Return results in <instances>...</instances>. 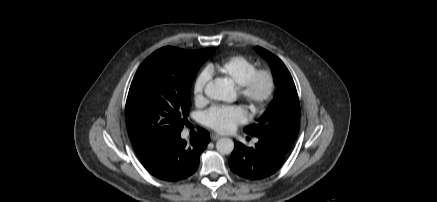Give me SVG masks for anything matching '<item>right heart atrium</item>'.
<instances>
[{
    "label": "right heart atrium",
    "mask_w": 437,
    "mask_h": 202,
    "mask_svg": "<svg viewBox=\"0 0 437 202\" xmlns=\"http://www.w3.org/2000/svg\"><path fill=\"white\" fill-rule=\"evenodd\" d=\"M210 79L208 70H203L198 74L193 85V93L196 100H201L204 96L205 87Z\"/></svg>",
    "instance_id": "obj_1"
}]
</instances>
